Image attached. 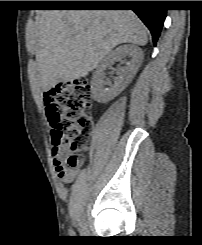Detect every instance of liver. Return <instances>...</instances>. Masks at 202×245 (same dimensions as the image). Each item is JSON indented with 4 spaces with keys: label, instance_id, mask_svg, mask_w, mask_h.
Returning a JSON list of instances; mask_svg holds the SVG:
<instances>
[{
    "label": "liver",
    "instance_id": "obj_1",
    "mask_svg": "<svg viewBox=\"0 0 202 245\" xmlns=\"http://www.w3.org/2000/svg\"><path fill=\"white\" fill-rule=\"evenodd\" d=\"M43 91L85 77L117 45L145 46L147 31L131 10H44L35 33Z\"/></svg>",
    "mask_w": 202,
    "mask_h": 245
}]
</instances>
